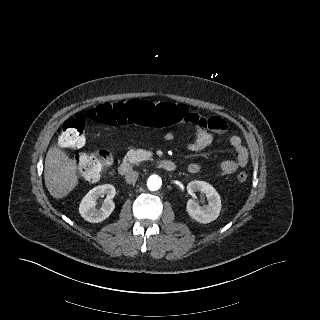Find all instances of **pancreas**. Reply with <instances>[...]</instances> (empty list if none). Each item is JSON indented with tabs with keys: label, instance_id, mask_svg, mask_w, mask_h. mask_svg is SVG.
Masks as SVG:
<instances>
[{
	"label": "pancreas",
	"instance_id": "pancreas-1",
	"mask_svg": "<svg viewBox=\"0 0 320 320\" xmlns=\"http://www.w3.org/2000/svg\"><path fill=\"white\" fill-rule=\"evenodd\" d=\"M129 162L132 164H138L139 162L143 161L145 157L139 150L130 149L125 157Z\"/></svg>",
	"mask_w": 320,
	"mask_h": 320
}]
</instances>
